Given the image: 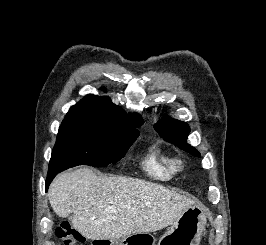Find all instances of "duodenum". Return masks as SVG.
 <instances>
[{"instance_id":"duodenum-1","label":"duodenum","mask_w":266,"mask_h":245,"mask_svg":"<svg viewBox=\"0 0 266 245\" xmlns=\"http://www.w3.org/2000/svg\"><path fill=\"white\" fill-rule=\"evenodd\" d=\"M115 242V237H93V245H110Z\"/></svg>"}]
</instances>
